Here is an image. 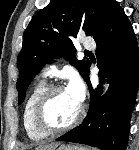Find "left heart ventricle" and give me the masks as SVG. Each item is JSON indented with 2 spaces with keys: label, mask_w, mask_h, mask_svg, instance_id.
Instances as JSON below:
<instances>
[{
  "label": "left heart ventricle",
  "mask_w": 139,
  "mask_h": 150,
  "mask_svg": "<svg viewBox=\"0 0 139 150\" xmlns=\"http://www.w3.org/2000/svg\"><path fill=\"white\" fill-rule=\"evenodd\" d=\"M80 103L67 89L55 92L46 104L45 121L55 127L70 123L78 113Z\"/></svg>",
  "instance_id": "obj_1"
}]
</instances>
